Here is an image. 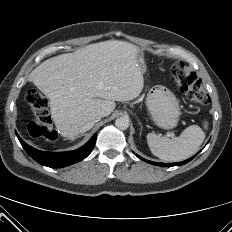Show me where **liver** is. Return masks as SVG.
<instances>
[{"instance_id": "6515ba94", "label": "liver", "mask_w": 232, "mask_h": 232, "mask_svg": "<svg viewBox=\"0 0 232 232\" xmlns=\"http://www.w3.org/2000/svg\"><path fill=\"white\" fill-rule=\"evenodd\" d=\"M139 48L109 40L42 62L29 81L49 98L51 117L61 136L74 139L92 114L110 115L115 101L141 93L145 68Z\"/></svg>"}]
</instances>
